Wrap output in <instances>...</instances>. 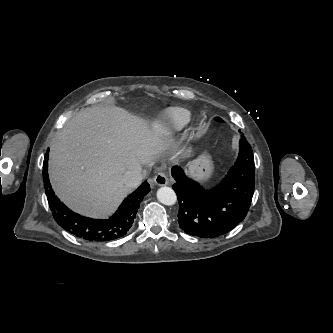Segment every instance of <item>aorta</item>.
<instances>
[{
	"label": "aorta",
	"mask_w": 333,
	"mask_h": 333,
	"mask_svg": "<svg viewBox=\"0 0 333 333\" xmlns=\"http://www.w3.org/2000/svg\"><path fill=\"white\" fill-rule=\"evenodd\" d=\"M157 199L164 205H174L177 201V196L174 190L170 187L163 186L157 191Z\"/></svg>",
	"instance_id": "762f6f07"
}]
</instances>
